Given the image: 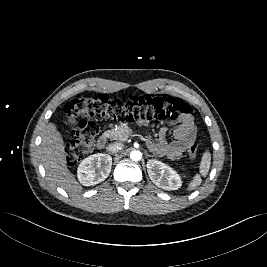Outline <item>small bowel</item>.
I'll return each instance as SVG.
<instances>
[{
	"label": "small bowel",
	"mask_w": 267,
	"mask_h": 267,
	"mask_svg": "<svg viewBox=\"0 0 267 267\" xmlns=\"http://www.w3.org/2000/svg\"><path fill=\"white\" fill-rule=\"evenodd\" d=\"M143 123L142 121L139 122V124ZM196 134L197 127L193 117L189 114L179 119V123L173 132L174 140L169 141L166 128H162L156 141L148 138L146 143L149 149L159 156L178 158L196 139Z\"/></svg>",
	"instance_id": "obj_1"
}]
</instances>
